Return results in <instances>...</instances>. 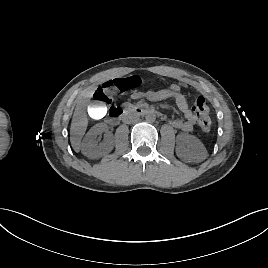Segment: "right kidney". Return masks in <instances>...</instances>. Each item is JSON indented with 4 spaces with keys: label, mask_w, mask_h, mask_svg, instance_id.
<instances>
[{
    "label": "right kidney",
    "mask_w": 268,
    "mask_h": 268,
    "mask_svg": "<svg viewBox=\"0 0 268 268\" xmlns=\"http://www.w3.org/2000/svg\"><path fill=\"white\" fill-rule=\"evenodd\" d=\"M107 125L100 123L93 126L85 135L81 143V152L83 155L91 159H96L108 154L113 149V139L107 132ZM106 132L104 141L98 143L97 137Z\"/></svg>",
    "instance_id": "obj_1"
}]
</instances>
